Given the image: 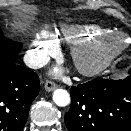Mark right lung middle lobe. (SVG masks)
<instances>
[{
	"instance_id": "obj_1",
	"label": "right lung middle lobe",
	"mask_w": 131,
	"mask_h": 131,
	"mask_svg": "<svg viewBox=\"0 0 131 131\" xmlns=\"http://www.w3.org/2000/svg\"><path fill=\"white\" fill-rule=\"evenodd\" d=\"M22 48V44L12 41L4 37L0 29V56L10 58L13 54H18Z\"/></svg>"
}]
</instances>
